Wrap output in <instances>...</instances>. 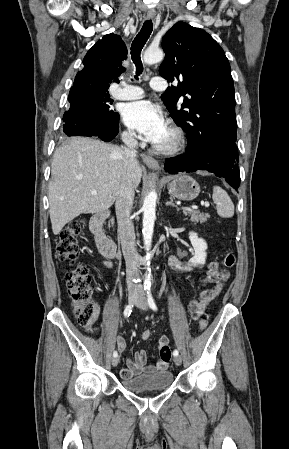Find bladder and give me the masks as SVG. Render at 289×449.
Returning a JSON list of instances; mask_svg holds the SVG:
<instances>
[{"label":"bladder","instance_id":"31cf9c89","mask_svg":"<svg viewBox=\"0 0 289 449\" xmlns=\"http://www.w3.org/2000/svg\"><path fill=\"white\" fill-rule=\"evenodd\" d=\"M173 383V374L170 370L154 371L123 379L121 385L133 392L147 390H161L170 387Z\"/></svg>","mask_w":289,"mask_h":449}]
</instances>
